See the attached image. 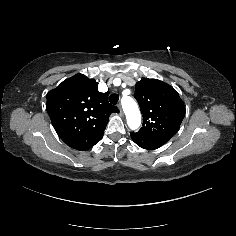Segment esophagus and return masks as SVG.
Wrapping results in <instances>:
<instances>
[{
  "label": "esophagus",
  "instance_id": "34e87169",
  "mask_svg": "<svg viewBox=\"0 0 236 236\" xmlns=\"http://www.w3.org/2000/svg\"><path fill=\"white\" fill-rule=\"evenodd\" d=\"M118 108H119V111H120V115L123 116L124 113H123L122 107L119 105Z\"/></svg>",
  "mask_w": 236,
  "mask_h": 236
}]
</instances>
